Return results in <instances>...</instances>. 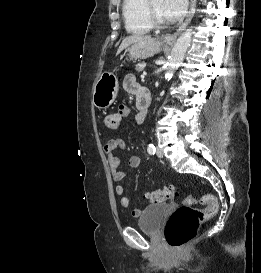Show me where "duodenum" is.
<instances>
[{
    "label": "duodenum",
    "mask_w": 261,
    "mask_h": 273,
    "mask_svg": "<svg viewBox=\"0 0 261 273\" xmlns=\"http://www.w3.org/2000/svg\"><path fill=\"white\" fill-rule=\"evenodd\" d=\"M150 104H151V95L146 90H143L141 92V95L137 99L138 111L135 117V121L137 124L143 123L144 120L146 119Z\"/></svg>",
    "instance_id": "1"
}]
</instances>
